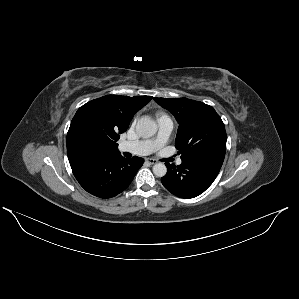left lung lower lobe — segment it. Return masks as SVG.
Here are the masks:
<instances>
[{"label": "left lung lower lobe", "instance_id": "1", "mask_svg": "<svg viewBox=\"0 0 299 299\" xmlns=\"http://www.w3.org/2000/svg\"><path fill=\"white\" fill-rule=\"evenodd\" d=\"M225 154L197 153L182 158V164L165 163L167 173L161 178L164 187L181 198H194L203 193L215 180Z\"/></svg>", "mask_w": 299, "mask_h": 299}]
</instances>
